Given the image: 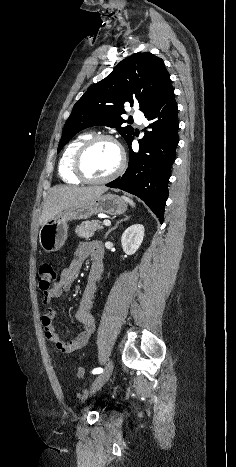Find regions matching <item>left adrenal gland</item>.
<instances>
[{
	"label": "left adrenal gland",
	"instance_id": "left-adrenal-gland-1",
	"mask_svg": "<svg viewBox=\"0 0 236 467\" xmlns=\"http://www.w3.org/2000/svg\"><path fill=\"white\" fill-rule=\"evenodd\" d=\"M129 218H130V217L127 216L125 219L120 220L119 222H117V223L115 224L114 227H112L111 229H109V230L106 232L104 239H107V237H108V235L110 234V232L113 231V230H115V229L118 227V225H119L120 223H122L123 221L128 220Z\"/></svg>",
	"mask_w": 236,
	"mask_h": 467
}]
</instances>
